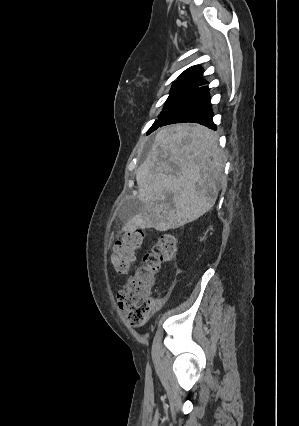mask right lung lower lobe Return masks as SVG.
<instances>
[{
	"label": "right lung lower lobe",
	"instance_id": "right-lung-lower-lobe-1",
	"mask_svg": "<svg viewBox=\"0 0 299 426\" xmlns=\"http://www.w3.org/2000/svg\"><path fill=\"white\" fill-rule=\"evenodd\" d=\"M212 117L213 112L211 109L208 87H201L195 89L176 103L164 114L162 119L151 129V131L157 129L159 126L180 122L200 123L216 130Z\"/></svg>",
	"mask_w": 299,
	"mask_h": 426
}]
</instances>
